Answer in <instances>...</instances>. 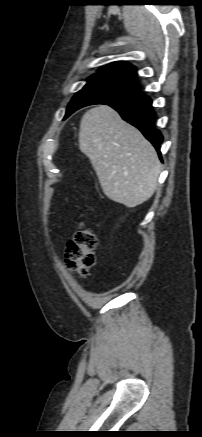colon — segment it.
<instances>
[{
    "label": "colon",
    "instance_id": "obj_1",
    "mask_svg": "<svg viewBox=\"0 0 202 437\" xmlns=\"http://www.w3.org/2000/svg\"><path fill=\"white\" fill-rule=\"evenodd\" d=\"M97 238L87 226L82 224L65 250L66 263L70 270L79 276H86L95 265Z\"/></svg>",
    "mask_w": 202,
    "mask_h": 437
}]
</instances>
